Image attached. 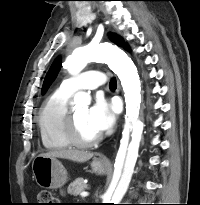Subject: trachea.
Instances as JSON below:
<instances>
[{
    "instance_id": "trachea-1",
    "label": "trachea",
    "mask_w": 200,
    "mask_h": 205,
    "mask_svg": "<svg viewBox=\"0 0 200 205\" xmlns=\"http://www.w3.org/2000/svg\"><path fill=\"white\" fill-rule=\"evenodd\" d=\"M110 88H116L117 87V82L116 78H112L110 83H109Z\"/></svg>"
}]
</instances>
